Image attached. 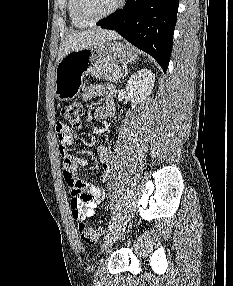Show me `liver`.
<instances>
[{
    "label": "liver",
    "instance_id": "1",
    "mask_svg": "<svg viewBox=\"0 0 233 286\" xmlns=\"http://www.w3.org/2000/svg\"><path fill=\"white\" fill-rule=\"evenodd\" d=\"M120 36L112 30L93 28L82 32L71 33L65 37L59 52L57 62L74 50L96 46L107 40H116Z\"/></svg>",
    "mask_w": 233,
    "mask_h": 286
}]
</instances>
